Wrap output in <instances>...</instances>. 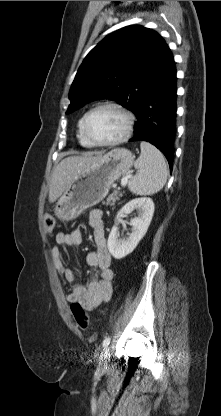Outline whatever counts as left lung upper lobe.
<instances>
[{"mask_svg":"<svg viewBox=\"0 0 221 416\" xmlns=\"http://www.w3.org/2000/svg\"><path fill=\"white\" fill-rule=\"evenodd\" d=\"M166 46L158 33L138 25L108 35L78 69L66 114L97 99H112L136 114Z\"/></svg>","mask_w":221,"mask_h":416,"instance_id":"left-lung-upper-lobe-1","label":"left lung upper lobe"}]
</instances>
